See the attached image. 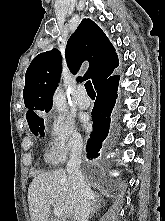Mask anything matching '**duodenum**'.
Returning <instances> with one entry per match:
<instances>
[{
    "label": "duodenum",
    "mask_w": 165,
    "mask_h": 221,
    "mask_svg": "<svg viewBox=\"0 0 165 221\" xmlns=\"http://www.w3.org/2000/svg\"><path fill=\"white\" fill-rule=\"evenodd\" d=\"M48 221H58V220H55V219H49Z\"/></svg>",
    "instance_id": "duodenum-1"
}]
</instances>
